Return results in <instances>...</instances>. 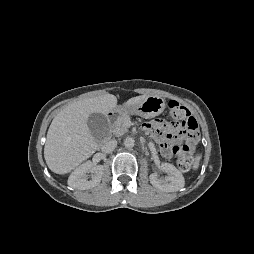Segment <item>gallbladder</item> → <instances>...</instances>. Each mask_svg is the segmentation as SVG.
Segmentation results:
<instances>
[{
	"mask_svg": "<svg viewBox=\"0 0 254 254\" xmlns=\"http://www.w3.org/2000/svg\"><path fill=\"white\" fill-rule=\"evenodd\" d=\"M87 125L95 141L101 142L107 137L109 131V123L104 114H90L87 119Z\"/></svg>",
	"mask_w": 254,
	"mask_h": 254,
	"instance_id": "bac80fb5",
	"label": "gallbladder"
}]
</instances>
